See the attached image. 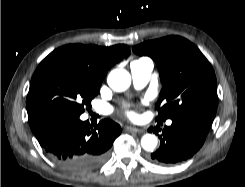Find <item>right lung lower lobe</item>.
<instances>
[{
	"label": "right lung lower lobe",
	"instance_id": "98d812e1",
	"mask_svg": "<svg viewBox=\"0 0 245 187\" xmlns=\"http://www.w3.org/2000/svg\"><path fill=\"white\" fill-rule=\"evenodd\" d=\"M79 116L54 114L30 127L55 163L68 171L80 173L104 163L121 127L107 119L93 127L88 121H81Z\"/></svg>",
	"mask_w": 245,
	"mask_h": 187
}]
</instances>
